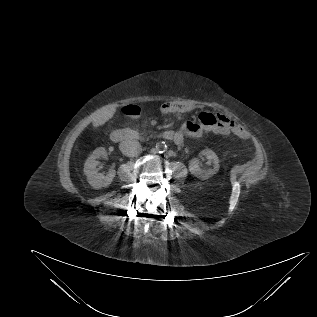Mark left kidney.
<instances>
[{
    "mask_svg": "<svg viewBox=\"0 0 317 317\" xmlns=\"http://www.w3.org/2000/svg\"><path fill=\"white\" fill-rule=\"evenodd\" d=\"M200 156H205L208 159V164L213 167L210 169H202L198 158H193L189 161V171L194 176L206 180L219 170V159L214 151L211 149H204L200 152Z\"/></svg>",
    "mask_w": 317,
    "mask_h": 317,
    "instance_id": "5707ae66",
    "label": "left kidney"
}]
</instances>
